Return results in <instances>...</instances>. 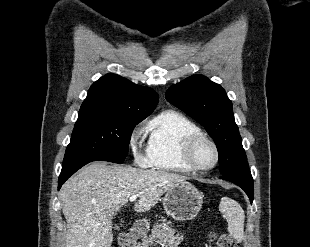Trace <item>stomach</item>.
Instances as JSON below:
<instances>
[{
    "mask_svg": "<svg viewBox=\"0 0 310 247\" xmlns=\"http://www.w3.org/2000/svg\"><path fill=\"white\" fill-rule=\"evenodd\" d=\"M203 204V195L191 183L183 181L169 189L163 198V207L168 215L179 221L192 220ZM148 230V223L139 220L135 225L138 234Z\"/></svg>",
    "mask_w": 310,
    "mask_h": 247,
    "instance_id": "stomach-1",
    "label": "stomach"
}]
</instances>
